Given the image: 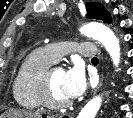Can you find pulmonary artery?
<instances>
[{"mask_svg":"<svg viewBox=\"0 0 133 118\" xmlns=\"http://www.w3.org/2000/svg\"><path fill=\"white\" fill-rule=\"evenodd\" d=\"M43 50L54 62L58 61L63 55H66L73 50L77 51L81 56L86 58H94L98 52L96 46L93 43L84 41H64L48 44L43 47Z\"/></svg>","mask_w":133,"mask_h":118,"instance_id":"obj_1","label":"pulmonary artery"}]
</instances>
